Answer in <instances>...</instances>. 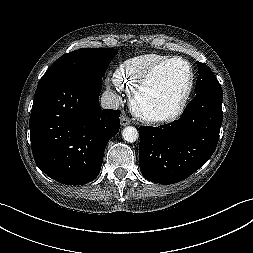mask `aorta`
<instances>
[{"instance_id":"1","label":"aorta","mask_w":253,"mask_h":253,"mask_svg":"<svg viewBox=\"0 0 253 253\" xmlns=\"http://www.w3.org/2000/svg\"><path fill=\"white\" fill-rule=\"evenodd\" d=\"M122 136L125 141L133 143L138 139V131L133 126H127L123 129Z\"/></svg>"}]
</instances>
